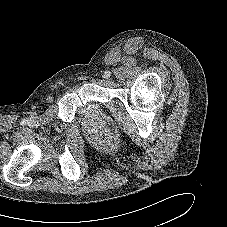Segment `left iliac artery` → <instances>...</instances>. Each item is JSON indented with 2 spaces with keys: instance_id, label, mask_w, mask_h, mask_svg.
<instances>
[{
  "instance_id": "44dca946",
  "label": "left iliac artery",
  "mask_w": 227,
  "mask_h": 227,
  "mask_svg": "<svg viewBox=\"0 0 227 227\" xmlns=\"http://www.w3.org/2000/svg\"><path fill=\"white\" fill-rule=\"evenodd\" d=\"M111 72L110 71H106L105 72V76H110Z\"/></svg>"
}]
</instances>
